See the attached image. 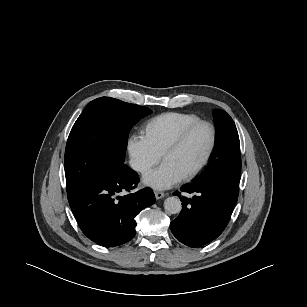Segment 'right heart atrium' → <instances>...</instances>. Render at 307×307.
<instances>
[{"instance_id": "1", "label": "right heart atrium", "mask_w": 307, "mask_h": 307, "mask_svg": "<svg viewBox=\"0 0 307 307\" xmlns=\"http://www.w3.org/2000/svg\"><path fill=\"white\" fill-rule=\"evenodd\" d=\"M128 152L132 167L145 173L161 160V154L150 144L146 136L132 135L128 141Z\"/></svg>"}]
</instances>
